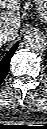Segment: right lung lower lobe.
Returning <instances> with one entry per match:
<instances>
[{
  "label": "right lung lower lobe",
  "instance_id": "right-lung-lower-lobe-1",
  "mask_svg": "<svg viewBox=\"0 0 47 129\" xmlns=\"http://www.w3.org/2000/svg\"><path fill=\"white\" fill-rule=\"evenodd\" d=\"M18 45L19 42H17L0 61V84L3 82L4 78L6 77L9 71L10 59L14 54L15 50L17 49Z\"/></svg>",
  "mask_w": 47,
  "mask_h": 129
}]
</instances>
